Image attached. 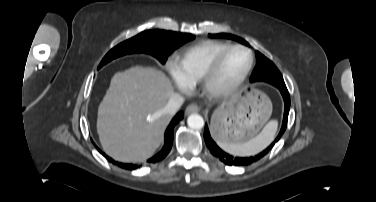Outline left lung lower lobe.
Segmentation results:
<instances>
[{"label":"left lung lower lobe","mask_w":376,"mask_h":202,"mask_svg":"<svg viewBox=\"0 0 376 202\" xmlns=\"http://www.w3.org/2000/svg\"><path fill=\"white\" fill-rule=\"evenodd\" d=\"M276 87L280 90V92L283 96L284 103H285V110H284V118H283L282 127H281V130H280L277 138L275 139V141L272 142V144L270 146H268L263 152L255 155V156H251V157H247V158H245V157L234 158V157L230 156L229 154L225 153L224 151H222L216 145V143L213 141V139L210 136V132H209L208 126L206 124L205 125V131H204V140H205V143H206L207 147L209 148L210 152L214 156L218 157L222 162H224L227 165L246 166V165H250L254 162H257L258 160H260L262 157H264L272 149L275 142L278 141L281 138L282 134L284 133V131L287 127V120H288V114H289V109H290V95H289V92L286 88V85L285 86L281 85V86H276Z\"/></svg>","instance_id":"left-lung-lower-lobe-1"}]
</instances>
